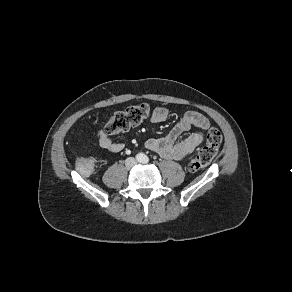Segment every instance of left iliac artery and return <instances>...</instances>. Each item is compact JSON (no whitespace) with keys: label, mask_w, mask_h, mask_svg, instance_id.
<instances>
[{"label":"left iliac artery","mask_w":292,"mask_h":292,"mask_svg":"<svg viewBox=\"0 0 292 292\" xmlns=\"http://www.w3.org/2000/svg\"><path fill=\"white\" fill-rule=\"evenodd\" d=\"M149 162V158L147 157V156H145L144 158H143V163H148Z\"/></svg>","instance_id":"44dca946"}]
</instances>
